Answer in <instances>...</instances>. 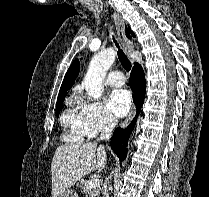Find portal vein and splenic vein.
I'll use <instances>...</instances> for the list:
<instances>
[{
	"mask_svg": "<svg viewBox=\"0 0 209 197\" xmlns=\"http://www.w3.org/2000/svg\"><path fill=\"white\" fill-rule=\"evenodd\" d=\"M99 183H100V180L98 178H92L89 181V188H95L99 185Z\"/></svg>",
	"mask_w": 209,
	"mask_h": 197,
	"instance_id": "18ae733b",
	"label": "portal vein and splenic vein"
}]
</instances>
